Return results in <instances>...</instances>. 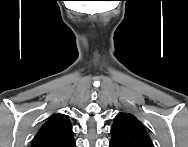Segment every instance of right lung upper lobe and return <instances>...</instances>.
<instances>
[{
    "label": "right lung upper lobe",
    "instance_id": "1",
    "mask_svg": "<svg viewBox=\"0 0 188 147\" xmlns=\"http://www.w3.org/2000/svg\"><path fill=\"white\" fill-rule=\"evenodd\" d=\"M68 116L57 113L49 117L32 141V147H75Z\"/></svg>",
    "mask_w": 188,
    "mask_h": 147
}]
</instances>
